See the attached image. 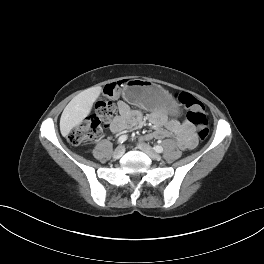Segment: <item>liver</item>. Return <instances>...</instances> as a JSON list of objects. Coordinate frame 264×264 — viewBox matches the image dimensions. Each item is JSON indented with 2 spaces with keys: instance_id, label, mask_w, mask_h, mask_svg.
Listing matches in <instances>:
<instances>
[{
  "instance_id": "6515ba94",
  "label": "liver",
  "mask_w": 264,
  "mask_h": 264,
  "mask_svg": "<svg viewBox=\"0 0 264 264\" xmlns=\"http://www.w3.org/2000/svg\"><path fill=\"white\" fill-rule=\"evenodd\" d=\"M102 87L88 88L75 96L65 107L60 118V131L67 136L70 131L80 124L90 113L93 103L99 97Z\"/></svg>"
}]
</instances>
